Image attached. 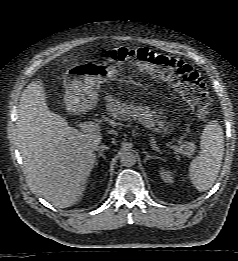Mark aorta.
I'll return each mask as SVG.
<instances>
[{"label":"aorta","instance_id":"obj_1","mask_svg":"<svg viewBox=\"0 0 238 261\" xmlns=\"http://www.w3.org/2000/svg\"><path fill=\"white\" fill-rule=\"evenodd\" d=\"M120 162L125 167H132L136 163V155L131 151H124L121 154Z\"/></svg>","mask_w":238,"mask_h":261}]
</instances>
